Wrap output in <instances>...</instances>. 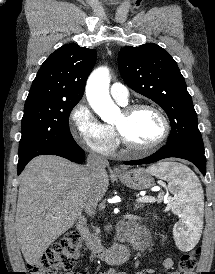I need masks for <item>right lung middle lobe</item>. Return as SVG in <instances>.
I'll return each instance as SVG.
<instances>
[{
	"mask_svg": "<svg viewBox=\"0 0 215 274\" xmlns=\"http://www.w3.org/2000/svg\"><path fill=\"white\" fill-rule=\"evenodd\" d=\"M76 104L41 100L26 102L19 160H30L49 149L76 144L69 129V115Z\"/></svg>",
	"mask_w": 215,
	"mask_h": 274,
	"instance_id": "obj_1",
	"label": "right lung middle lobe"
}]
</instances>
